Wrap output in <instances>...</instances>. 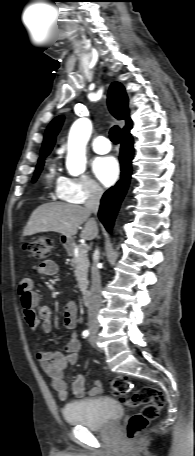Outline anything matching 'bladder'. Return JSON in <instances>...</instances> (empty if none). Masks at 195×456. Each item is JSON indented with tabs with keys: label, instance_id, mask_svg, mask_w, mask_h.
I'll return each instance as SVG.
<instances>
[{
	"label": "bladder",
	"instance_id": "31cf9c89",
	"mask_svg": "<svg viewBox=\"0 0 195 456\" xmlns=\"http://www.w3.org/2000/svg\"><path fill=\"white\" fill-rule=\"evenodd\" d=\"M65 421L91 430H101L115 424L123 415V407L111 398L74 401L62 410Z\"/></svg>",
	"mask_w": 195,
	"mask_h": 456
}]
</instances>
